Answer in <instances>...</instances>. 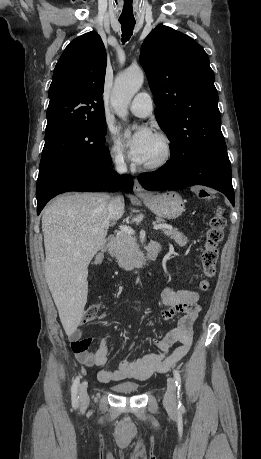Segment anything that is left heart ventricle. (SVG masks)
Listing matches in <instances>:
<instances>
[{
	"label": "left heart ventricle",
	"instance_id": "left-heart-ventricle-1",
	"mask_svg": "<svg viewBox=\"0 0 261 459\" xmlns=\"http://www.w3.org/2000/svg\"><path fill=\"white\" fill-rule=\"evenodd\" d=\"M162 153H163V146L161 142L155 137L150 146L148 158L145 164L157 160L162 155Z\"/></svg>",
	"mask_w": 261,
	"mask_h": 459
}]
</instances>
